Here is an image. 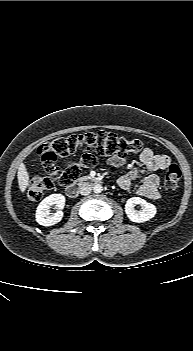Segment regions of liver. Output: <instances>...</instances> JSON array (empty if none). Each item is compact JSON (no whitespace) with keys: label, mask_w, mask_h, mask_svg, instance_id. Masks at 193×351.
I'll return each instance as SVG.
<instances>
[{"label":"liver","mask_w":193,"mask_h":351,"mask_svg":"<svg viewBox=\"0 0 193 351\" xmlns=\"http://www.w3.org/2000/svg\"><path fill=\"white\" fill-rule=\"evenodd\" d=\"M17 179H18L19 189L22 193H24L26 188L29 185V174L27 172V169L24 163H21L19 165L18 172H17Z\"/></svg>","instance_id":"6515ba94"}]
</instances>
